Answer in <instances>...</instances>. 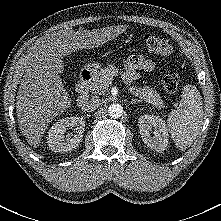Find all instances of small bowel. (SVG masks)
Wrapping results in <instances>:
<instances>
[{"label": "small bowel", "mask_w": 221, "mask_h": 221, "mask_svg": "<svg viewBox=\"0 0 221 221\" xmlns=\"http://www.w3.org/2000/svg\"><path fill=\"white\" fill-rule=\"evenodd\" d=\"M125 76L128 80H135L139 77L138 71L152 72L156 68L153 60L141 55L128 57L124 61Z\"/></svg>", "instance_id": "c3829d8e"}]
</instances>
